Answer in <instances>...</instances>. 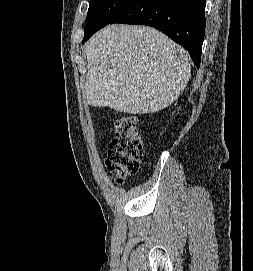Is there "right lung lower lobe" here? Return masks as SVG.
Listing matches in <instances>:
<instances>
[{
	"label": "right lung lower lobe",
	"mask_w": 253,
	"mask_h": 271,
	"mask_svg": "<svg viewBox=\"0 0 253 271\" xmlns=\"http://www.w3.org/2000/svg\"><path fill=\"white\" fill-rule=\"evenodd\" d=\"M205 3L206 0H132L110 24L154 27L187 49L199 68L205 34ZM91 35L85 36L83 43Z\"/></svg>",
	"instance_id": "1"
}]
</instances>
